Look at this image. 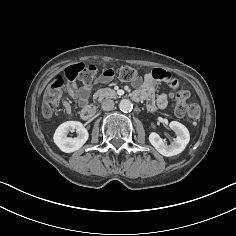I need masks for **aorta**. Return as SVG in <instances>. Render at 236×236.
<instances>
[{
  "label": "aorta",
  "mask_w": 236,
  "mask_h": 236,
  "mask_svg": "<svg viewBox=\"0 0 236 236\" xmlns=\"http://www.w3.org/2000/svg\"><path fill=\"white\" fill-rule=\"evenodd\" d=\"M119 108L123 112H130L133 108V104L128 99H122L119 103Z\"/></svg>",
  "instance_id": "1"
}]
</instances>
